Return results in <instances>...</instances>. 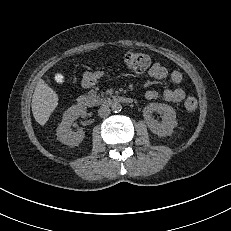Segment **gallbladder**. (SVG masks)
I'll use <instances>...</instances> for the list:
<instances>
[{
	"mask_svg": "<svg viewBox=\"0 0 231 231\" xmlns=\"http://www.w3.org/2000/svg\"><path fill=\"white\" fill-rule=\"evenodd\" d=\"M55 80H56L57 82H62V81L64 80V75H63L62 73H57V74L55 75Z\"/></svg>",
	"mask_w": 231,
	"mask_h": 231,
	"instance_id": "1",
	"label": "gallbladder"
}]
</instances>
